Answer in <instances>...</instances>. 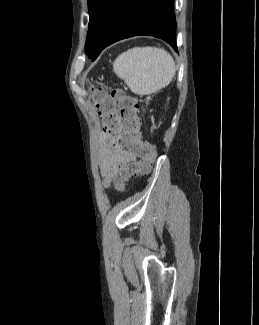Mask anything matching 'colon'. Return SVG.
<instances>
[{
  "mask_svg": "<svg viewBox=\"0 0 259 325\" xmlns=\"http://www.w3.org/2000/svg\"><path fill=\"white\" fill-rule=\"evenodd\" d=\"M93 98L107 132L112 133L113 129L122 127V143L139 157V161L117 171L114 176L116 189L123 191L132 176L147 174L151 170L156 150L141 138L139 104L135 97L122 89L112 88L108 91L95 90Z\"/></svg>",
  "mask_w": 259,
  "mask_h": 325,
  "instance_id": "colon-1",
  "label": "colon"
}]
</instances>
